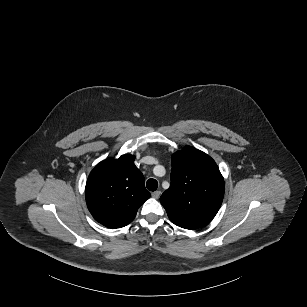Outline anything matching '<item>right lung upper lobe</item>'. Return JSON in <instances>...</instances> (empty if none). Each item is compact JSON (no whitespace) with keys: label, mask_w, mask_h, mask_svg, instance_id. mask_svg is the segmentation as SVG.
I'll use <instances>...</instances> for the list:
<instances>
[{"label":"right lung upper lobe","mask_w":307,"mask_h":307,"mask_svg":"<svg viewBox=\"0 0 307 307\" xmlns=\"http://www.w3.org/2000/svg\"><path fill=\"white\" fill-rule=\"evenodd\" d=\"M135 157L108 158L91 171L85 188L88 209L94 219L108 228L128 225L138 208L150 197Z\"/></svg>","instance_id":"cb5924a9"}]
</instances>
